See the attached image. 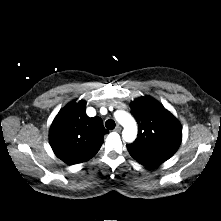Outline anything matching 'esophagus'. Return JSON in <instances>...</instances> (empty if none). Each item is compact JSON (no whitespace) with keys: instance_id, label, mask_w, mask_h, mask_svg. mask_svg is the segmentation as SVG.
I'll return each instance as SVG.
<instances>
[{"instance_id":"34e87169","label":"esophagus","mask_w":221,"mask_h":221,"mask_svg":"<svg viewBox=\"0 0 221 221\" xmlns=\"http://www.w3.org/2000/svg\"><path fill=\"white\" fill-rule=\"evenodd\" d=\"M122 130L121 126L117 125L114 129L115 132L120 133Z\"/></svg>"}]
</instances>
